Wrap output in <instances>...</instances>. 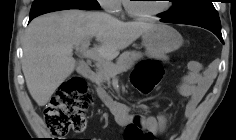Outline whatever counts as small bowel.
<instances>
[{
	"label": "small bowel",
	"mask_w": 236,
	"mask_h": 140,
	"mask_svg": "<svg viewBox=\"0 0 236 140\" xmlns=\"http://www.w3.org/2000/svg\"><path fill=\"white\" fill-rule=\"evenodd\" d=\"M187 69V73L179 82L178 90L186 99L184 118L190 119L211 86L215 73L211 67L203 69L197 61H188ZM168 120V114H160L158 117H143V124L151 135L155 136L166 130ZM170 140H178L177 135H173Z\"/></svg>",
	"instance_id": "1"
}]
</instances>
